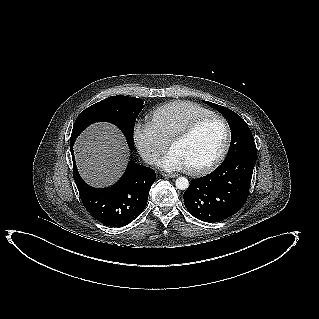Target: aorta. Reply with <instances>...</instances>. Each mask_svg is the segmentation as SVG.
I'll list each match as a JSON object with an SVG mask.
<instances>
[{
  "mask_svg": "<svg viewBox=\"0 0 319 319\" xmlns=\"http://www.w3.org/2000/svg\"><path fill=\"white\" fill-rule=\"evenodd\" d=\"M176 188L180 190H186L189 187V181L185 177H179L176 179Z\"/></svg>",
  "mask_w": 319,
  "mask_h": 319,
  "instance_id": "1",
  "label": "aorta"
}]
</instances>
